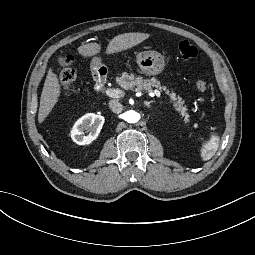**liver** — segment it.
<instances>
[{
  "mask_svg": "<svg viewBox=\"0 0 255 255\" xmlns=\"http://www.w3.org/2000/svg\"><path fill=\"white\" fill-rule=\"evenodd\" d=\"M150 37L148 33H124L115 36L109 43L106 55H115L122 51H127ZM77 53L84 59L89 60L95 56L100 55L102 51V44L97 42L83 44L76 48ZM62 87L58 76L49 70L44 82L43 90L40 97V107L38 112V124H42L49 114L57 105Z\"/></svg>",
  "mask_w": 255,
  "mask_h": 255,
  "instance_id": "liver-1",
  "label": "liver"
}]
</instances>
